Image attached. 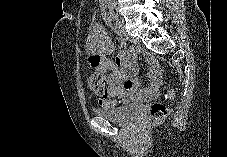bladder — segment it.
Returning a JSON list of instances; mask_svg holds the SVG:
<instances>
[{
    "mask_svg": "<svg viewBox=\"0 0 227 157\" xmlns=\"http://www.w3.org/2000/svg\"><path fill=\"white\" fill-rule=\"evenodd\" d=\"M93 113L119 125H129L135 122L143 113V106L131 103L117 107H102L93 109Z\"/></svg>",
    "mask_w": 227,
    "mask_h": 157,
    "instance_id": "obj_1",
    "label": "bladder"
}]
</instances>
